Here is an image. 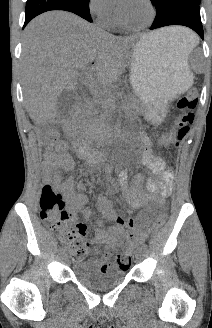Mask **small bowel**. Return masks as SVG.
Wrapping results in <instances>:
<instances>
[{
	"label": "small bowel",
	"mask_w": 212,
	"mask_h": 328,
	"mask_svg": "<svg viewBox=\"0 0 212 328\" xmlns=\"http://www.w3.org/2000/svg\"><path fill=\"white\" fill-rule=\"evenodd\" d=\"M143 139L142 162L160 178L158 183L148 182L147 187L150 192L158 193V196L153 201L158 205H162L171 194L174 175L162 158L152 154L148 140L146 138ZM69 147L73 148V145L65 141L58 143L55 147H48L44 152L42 167L46 177L65 195L68 204L67 212L70 215V219L76 222L78 214H82L85 219H90L93 217V213L89 207H84L87 202L84 183H80L75 190L74 176H64L74 167L73 159L68 153ZM140 181L141 178L139 177L137 185L130 187L126 171L121 172L118 176L119 187L127 203L128 210H140L135 218H125L120 215L106 199H100L98 202L99 211L113 222V225L106 228L103 226L102 221L97 219L96 227L94 228L91 244L95 248L102 247V251L91 261L93 266L101 272H109L116 267L109 262V257L118 245L125 241L136 239L143 229L150 224V210L147 208L150 199L139 191L138 185ZM85 257L86 254L80 259Z\"/></svg>",
	"instance_id": "1"
}]
</instances>
